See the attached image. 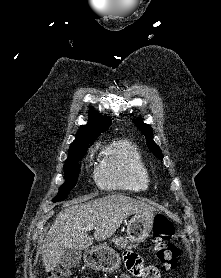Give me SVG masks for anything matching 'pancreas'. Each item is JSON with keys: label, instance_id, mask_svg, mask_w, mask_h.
<instances>
[{"label": "pancreas", "instance_id": "obj_1", "mask_svg": "<svg viewBox=\"0 0 221 278\" xmlns=\"http://www.w3.org/2000/svg\"><path fill=\"white\" fill-rule=\"evenodd\" d=\"M113 243L115 244V247L117 248H126L130 247L129 241L127 238L123 237H115L112 239Z\"/></svg>", "mask_w": 221, "mask_h": 278}]
</instances>
